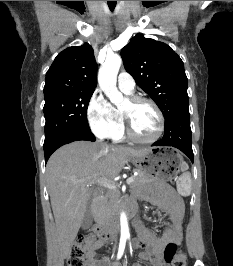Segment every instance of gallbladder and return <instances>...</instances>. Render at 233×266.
<instances>
[{
  "label": "gallbladder",
  "instance_id": "obj_1",
  "mask_svg": "<svg viewBox=\"0 0 233 266\" xmlns=\"http://www.w3.org/2000/svg\"><path fill=\"white\" fill-rule=\"evenodd\" d=\"M93 217L91 213L90 206L88 205L84 214V218L82 221V228L87 229L92 225Z\"/></svg>",
  "mask_w": 233,
  "mask_h": 266
}]
</instances>
